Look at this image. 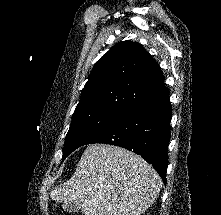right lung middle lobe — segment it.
I'll return each instance as SVG.
<instances>
[{
  "instance_id": "right-lung-middle-lobe-1",
  "label": "right lung middle lobe",
  "mask_w": 221,
  "mask_h": 215,
  "mask_svg": "<svg viewBox=\"0 0 221 215\" xmlns=\"http://www.w3.org/2000/svg\"><path fill=\"white\" fill-rule=\"evenodd\" d=\"M120 116L103 111H84L73 113L72 123L66 135L62 160L80 146L101 133Z\"/></svg>"
}]
</instances>
